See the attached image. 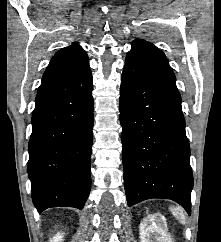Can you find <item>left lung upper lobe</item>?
I'll list each match as a JSON object with an SVG mask.
<instances>
[{"instance_id": "obj_1", "label": "left lung upper lobe", "mask_w": 221, "mask_h": 242, "mask_svg": "<svg viewBox=\"0 0 221 242\" xmlns=\"http://www.w3.org/2000/svg\"><path fill=\"white\" fill-rule=\"evenodd\" d=\"M125 65L149 81L177 89L175 75L165 54L145 40L136 39L132 42Z\"/></svg>"}]
</instances>
